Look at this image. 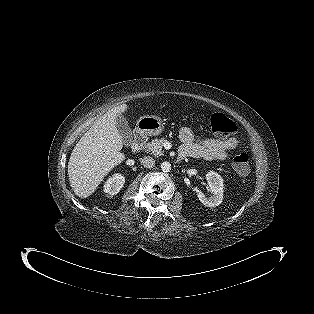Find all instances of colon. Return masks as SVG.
<instances>
[{"label":"colon","mask_w":314,"mask_h":314,"mask_svg":"<svg viewBox=\"0 0 314 314\" xmlns=\"http://www.w3.org/2000/svg\"><path fill=\"white\" fill-rule=\"evenodd\" d=\"M212 132L219 135H231L236 130V124L225 114L216 112L210 118ZM251 159L247 153L238 154L233 160V167L239 175L246 176L250 172Z\"/></svg>","instance_id":"colon-1"}]
</instances>
